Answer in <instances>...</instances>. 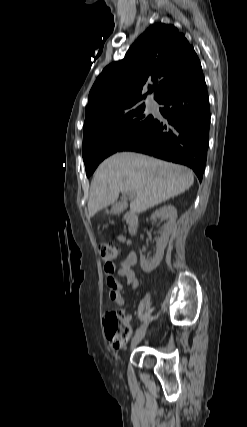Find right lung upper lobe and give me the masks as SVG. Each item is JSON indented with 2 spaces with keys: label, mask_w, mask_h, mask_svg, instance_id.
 <instances>
[{
  "label": "right lung upper lobe",
  "mask_w": 247,
  "mask_h": 427,
  "mask_svg": "<svg viewBox=\"0 0 247 427\" xmlns=\"http://www.w3.org/2000/svg\"><path fill=\"white\" fill-rule=\"evenodd\" d=\"M202 71L187 39L173 25L150 26L124 59L109 64L96 79L85 109L84 129L113 118L154 92L158 102L173 88ZM142 91H147L144 96Z\"/></svg>",
  "instance_id": "obj_1"
}]
</instances>
